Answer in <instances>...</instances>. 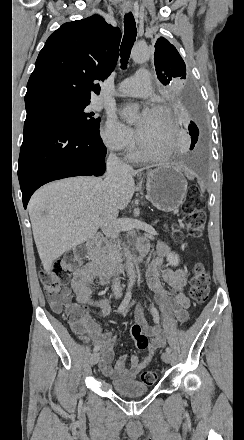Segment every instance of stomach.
Returning <instances> with one entry per match:
<instances>
[{
  "instance_id": "0dacf381",
  "label": "stomach",
  "mask_w": 244,
  "mask_h": 440,
  "mask_svg": "<svg viewBox=\"0 0 244 440\" xmlns=\"http://www.w3.org/2000/svg\"><path fill=\"white\" fill-rule=\"evenodd\" d=\"M147 198L157 210L174 212L183 204L188 182L175 166H160L146 174Z\"/></svg>"
}]
</instances>
